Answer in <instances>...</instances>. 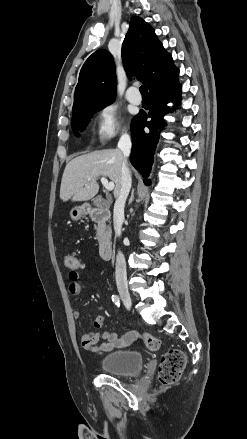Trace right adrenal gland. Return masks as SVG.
I'll return each instance as SVG.
<instances>
[{
	"label": "right adrenal gland",
	"mask_w": 247,
	"mask_h": 439,
	"mask_svg": "<svg viewBox=\"0 0 247 439\" xmlns=\"http://www.w3.org/2000/svg\"><path fill=\"white\" fill-rule=\"evenodd\" d=\"M133 200H134V189H132L131 196H130L128 204H131L133 202Z\"/></svg>",
	"instance_id": "right-adrenal-gland-1"
}]
</instances>
